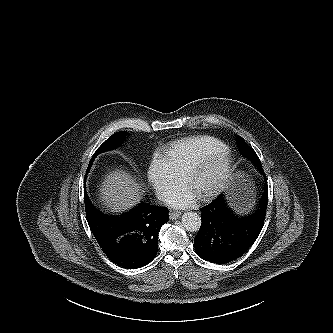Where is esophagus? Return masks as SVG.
Wrapping results in <instances>:
<instances>
[{
  "mask_svg": "<svg viewBox=\"0 0 333 333\" xmlns=\"http://www.w3.org/2000/svg\"><path fill=\"white\" fill-rule=\"evenodd\" d=\"M181 216V212H178V211H173V212H170V214H169V217H170V219H172V220H176V219H178L179 217Z\"/></svg>",
  "mask_w": 333,
  "mask_h": 333,
  "instance_id": "1",
  "label": "esophagus"
}]
</instances>
